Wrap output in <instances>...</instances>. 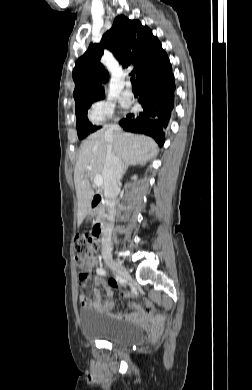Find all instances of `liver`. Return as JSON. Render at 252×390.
Returning a JSON list of instances; mask_svg holds the SVG:
<instances>
[{
    "label": "liver",
    "mask_w": 252,
    "mask_h": 390,
    "mask_svg": "<svg viewBox=\"0 0 252 390\" xmlns=\"http://www.w3.org/2000/svg\"><path fill=\"white\" fill-rule=\"evenodd\" d=\"M107 131V130H106ZM105 130L91 134L80 146V153L74 169V183L78 199V225L87 216L93 195L88 178L100 175L107 156V146L125 163L147 162L158 154V146L150 137L113 131L111 136ZM91 166V170L86 167Z\"/></svg>",
    "instance_id": "1"
}]
</instances>
